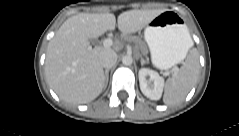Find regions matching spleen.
I'll use <instances>...</instances> for the list:
<instances>
[{
	"label": "spleen",
	"mask_w": 239,
	"mask_h": 136,
	"mask_svg": "<svg viewBox=\"0 0 239 136\" xmlns=\"http://www.w3.org/2000/svg\"><path fill=\"white\" fill-rule=\"evenodd\" d=\"M188 41H193L188 34ZM199 75V61L196 52H192L183 66L168 78L165 84L163 102L167 105L180 103L196 84Z\"/></svg>",
	"instance_id": "spleen-1"
}]
</instances>
